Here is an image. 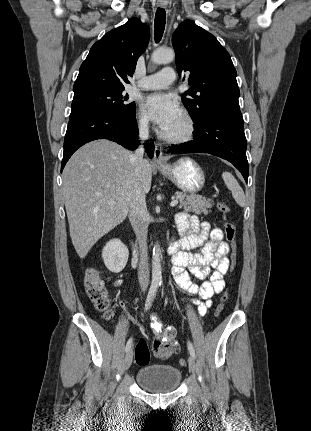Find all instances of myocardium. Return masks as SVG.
<instances>
[{
	"label": "myocardium",
	"mask_w": 311,
	"mask_h": 431,
	"mask_svg": "<svg viewBox=\"0 0 311 431\" xmlns=\"http://www.w3.org/2000/svg\"><path fill=\"white\" fill-rule=\"evenodd\" d=\"M181 115L183 116V118L187 123L186 132L183 134L174 135V136H167L163 132H161L160 137L164 141L171 144H180V143H185L190 141L196 135L198 126H197V121L195 117L188 110H183L181 112Z\"/></svg>",
	"instance_id": "1"
}]
</instances>
